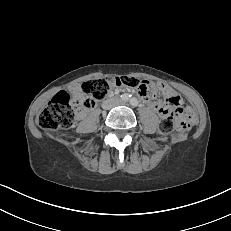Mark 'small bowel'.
I'll list each match as a JSON object with an SVG mask.
<instances>
[{
    "instance_id": "small-bowel-1",
    "label": "small bowel",
    "mask_w": 231,
    "mask_h": 231,
    "mask_svg": "<svg viewBox=\"0 0 231 231\" xmlns=\"http://www.w3.org/2000/svg\"><path fill=\"white\" fill-rule=\"evenodd\" d=\"M71 92L73 96L77 99H81L83 97L81 87L79 85H74L71 88ZM157 92L162 93L166 97V103L152 100L149 97H146V101L148 106L154 111L158 112L160 116L167 114L170 110L171 105L179 104L181 101L175 91L168 85L159 84L157 86H153V94Z\"/></svg>"
}]
</instances>
